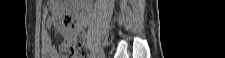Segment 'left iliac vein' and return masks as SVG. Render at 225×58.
I'll return each mask as SVG.
<instances>
[{"label": "left iliac vein", "mask_w": 225, "mask_h": 58, "mask_svg": "<svg viewBox=\"0 0 225 58\" xmlns=\"http://www.w3.org/2000/svg\"><path fill=\"white\" fill-rule=\"evenodd\" d=\"M98 58H105V54L103 51H101L99 54H98Z\"/></svg>", "instance_id": "4c4485c4"}]
</instances>
